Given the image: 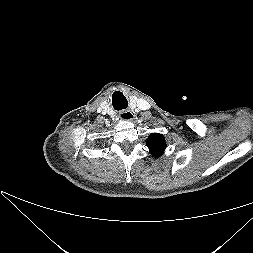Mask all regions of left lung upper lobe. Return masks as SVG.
Here are the masks:
<instances>
[{
  "instance_id": "1",
  "label": "left lung upper lobe",
  "mask_w": 253,
  "mask_h": 253,
  "mask_svg": "<svg viewBox=\"0 0 253 253\" xmlns=\"http://www.w3.org/2000/svg\"><path fill=\"white\" fill-rule=\"evenodd\" d=\"M146 143L150 153L156 158L161 156L166 148L164 136L159 133L150 134Z\"/></svg>"
}]
</instances>
